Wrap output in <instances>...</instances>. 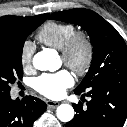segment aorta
<instances>
[{"label":"aorta","mask_w":127,"mask_h":127,"mask_svg":"<svg viewBox=\"0 0 127 127\" xmlns=\"http://www.w3.org/2000/svg\"><path fill=\"white\" fill-rule=\"evenodd\" d=\"M33 66L41 71H55L58 68V59L54 51L45 49L33 57ZM74 109L69 104L57 107V117L62 122H69L74 117Z\"/></svg>","instance_id":"762f6f07"}]
</instances>
